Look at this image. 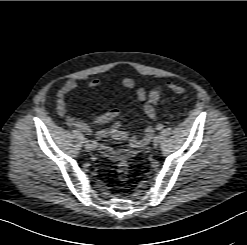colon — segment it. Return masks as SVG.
<instances>
[{
    "label": "colon",
    "mask_w": 247,
    "mask_h": 245,
    "mask_svg": "<svg viewBox=\"0 0 247 245\" xmlns=\"http://www.w3.org/2000/svg\"><path fill=\"white\" fill-rule=\"evenodd\" d=\"M170 90L182 97H187L188 95V90L179 85L171 84L170 85ZM161 99V93L159 90H154L149 94V99L148 101L150 103H156ZM117 177L119 181L125 183L129 180L130 177V167H129V162L128 159L126 158H121L117 164Z\"/></svg>",
    "instance_id": "1"
}]
</instances>
